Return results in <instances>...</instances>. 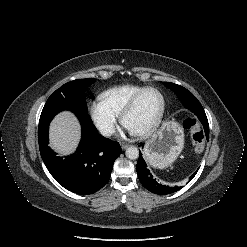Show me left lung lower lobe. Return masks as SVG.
<instances>
[{"mask_svg": "<svg viewBox=\"0 0 247 247\" xmlns=\"http://www.w3.org/2000/svg\"><path fill=\"white\" fill-rule=\"evenodd\" d=\"M203 125V134L206 139H209V124L207 118L200 119ZM136 171L139 177L140 182L142 185L152 193L159 194V195H166L174 193L180 190L182 187H169L167 185L162 184L159 182L155 176L147 168V165L142 157V154H139V159L136 165Z\"/></svg>", "mask_w": 247, "mask_h": 247, "instance_id": "1", "label": "left lung lower lobe"}]
</instances>
